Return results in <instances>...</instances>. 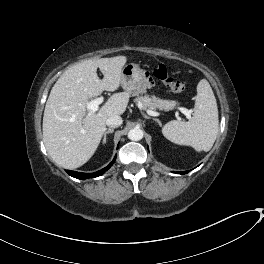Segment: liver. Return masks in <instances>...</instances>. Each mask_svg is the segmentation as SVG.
<instances>
[{
  "label": "liver",
  "instance_id": "1",
  "mask_svg": "<svg viewBox=\"0 0 264 264\" xmlns=\"http://www.w3.org/2000/svg\"><path fill=\"white\" fill-rule=\"evenodd\" d=\"M126 62V56L84 60L68 68L54 84L44 110L43 141L55 163L66 169L85 164L99 146L107 118L125 112L127 92L113 94L97 113H90L86 103L103 91L119 88Z\"/></svg>",
  "mask_w": 264,
  "mask_h": 264
}]
</instances>
